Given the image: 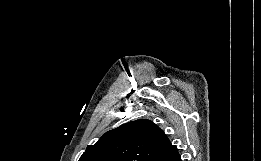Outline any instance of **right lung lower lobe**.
Masks as SVG:
<instances>
[{"instance_id":"1","label":"right lung lower lobe","mask_w":261,"mask_h":161,"mask_svg":"<svg viewBox=\"0 0 261 161\" xmlns=\"http://www.w3.org/2000/svg\"><path fill=\"white\" fill-rule=\"evenodd\" d=\"M161 161H181V158H180V155L177 152V153H175V154H173V155H171V156H169V157H167V158H165Z\"/></svg>"}]
</instances>
